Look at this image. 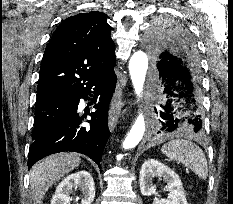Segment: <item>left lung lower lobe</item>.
I'll list each match as a JSON object with an SVG mask.
<instances>
[{"label": "left lung lower lobe", "instance_id": "1", "mask_svg": "<svg viewBox=\"0 0 233 204\" xmlns=\"http://www.w3.org/2000/svg\"><path fill=\"white\" fill-rule=\"evenodd\" d=\"M155 65L153 88L158 98L154 108L155 134L202 131L200 74L193 59L176 49H167Z\"/></svg>", "mask_w": 233, "mask_h": 204}]
</instances>
